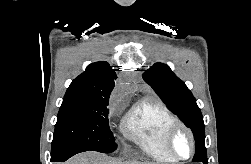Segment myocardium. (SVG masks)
I'll use <instances>...</instances> for the list:
<instances>
[{
  "mask_svg": "<svg viewBox=\"0 0 251 164\" xmlns=\"http://www.w3.org/2000/svg\"><path fill=\"white\" fill-rule=\"evenodd\" d=\"M183 131L189 141H190V153L185 156H179L177 154L174 153L173 148H172V142L175 138V136L177 135L178 132ZM163 145H164V149L166 151V153L175 161H186L189 160L195 153V138L194 135L191 131V129L184 124L181 121H174L166 130L165 134H164V139H163Z\"/></svg>",
  "mask_w": 251,
  "mask_h": 164,
  "instance_id": "f54148a6",
  "label": "myocardium"
}]
</instances>
